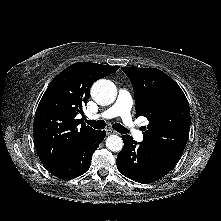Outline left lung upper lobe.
Masks as SVG:
<instances>
[{"label":"left lung upper lobe","instance_id":"1","mask_svg":"<svg viewBox=\"0 0 221 221\" xmlns=\"http://www.w3.org/2000/svg\"><path fill=\"white\" fill-rule=\"evenodd\" d=\"M134 89L136 117L144 116L142 144L178 162L190 131V107L178 84L156 68L122 67Z\"/></svg>","mask_w":221,"mask_h":221}]
</instances>
